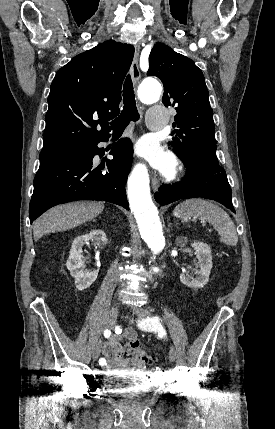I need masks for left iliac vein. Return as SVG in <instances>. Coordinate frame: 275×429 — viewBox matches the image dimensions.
I'll return each instance as SVG.
<instances>
[{"instance_id":"obj_1","label":"left iliac vein","mask_w":275,"mask_h":429,"mask_svg":"<svg viewBox=\"0 0 275 429\" xmlns=\"http://www.w3.org/2000/svg\"><path fill=\"white\" fill-rule=\"evenodd\" d=\"M135 314L143 320L150 316V312L147 309H143V308H136ZM177 355H178V353H177L176 348L171 347L170 353H169L170 361H175L177 358Z\"/></svg>"}]
</instances>
